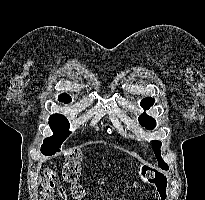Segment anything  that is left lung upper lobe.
<instances>
[{"label": "left lung upper lobe", "mask_w": 205, "mask_h": 200, "mask_svg": "<svg viewBox=\"0 0 205 200\" xmlns=\"http://www.w3.org/2000/svg\"><path fill=\"white\" fill-rule=\"evenodd\" d=\"M154 102H155V100L153 98L147 97L141 101V106L145 110H147L154 104ZM139 122L141 123V125L145 126L149 130H152L156 126L155 120L152 117L148 116L146 113L142 114L139 117ZM152 147H153V150H154L155 155L157 157L158 165L162 169L167 170L168 165L162 160L161 155H160L161 142L157 141V140L152 141Z\"/></svg>", "instance_id": "left-lung-upper-lobe-1"}]
</instances>
